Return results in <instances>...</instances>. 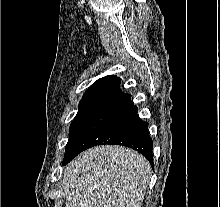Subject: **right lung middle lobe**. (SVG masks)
<instances>
[{
	"label": "right lung middle lobe",
	"mask_w": 220,
	"mask_h": 207,
	"mask_svg": "<svg viewBox=\"0 0 220 207\" xmlns=\"http://www.w3.org/2000/svg\"><path fill=\"white\" fill-rule=\"evenodd\" d=\"M100 87H101V84L92 85L85 92L82 100L80 101L78 112H77L75 118L73 119L71 126H70V129H69L70 137H69L68 143L66 145V149H67L68 145L70 144L72 137L77 132L79 127L82 125L85 117L87 116L93 102L95 101V99L98 95Z\"/></svg>",
	"instance_id": "dd1d6c3e"
}]
</instances>
